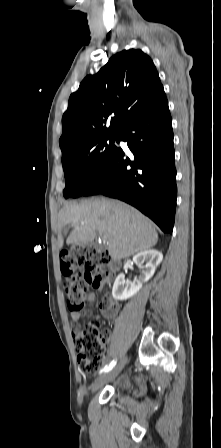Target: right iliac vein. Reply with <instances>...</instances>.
<instances>
[{
	"mask_svg": "<svg viewBox=\"0 0 221 448\" xmlns=\"http://www.w3.org/2000/svg\"><path fill=\"white\" fill-rule=\"evenodd\" d=\"M126 362V358H124L117 366L108 371L107 373L101 375L93 384L92 390H96L101 387L108 380L114 379L123 369Z\"/></svg>",
	"mask_w": 221,
	"mask_h": 448,
	"instance_id": "1",
	"label": "right iliac vein"
}]
</instances>
